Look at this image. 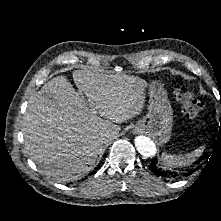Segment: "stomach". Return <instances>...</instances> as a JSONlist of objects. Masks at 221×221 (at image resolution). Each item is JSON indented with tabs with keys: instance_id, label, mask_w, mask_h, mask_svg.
I'll list each match as a JSON object with an SVG mask.
<instances>
[{
	"instance_id": "1",
	"label": "stomach",
	"mask_w": 221,
	"mask_h": 221,
	"mask_svg": "<svg viewBox=\"0 0 221 221\" xmlns=\"http://www.w3.org/2000/svg\"><path fill=\"white\" fill-rule=\"evenodd\" d=\"M148 113L137 122L135 129L150 134L159 144L167 143L171 137L173 113L167 92L154 81L149 86Z\"/></svg>"
}]
</instances>
